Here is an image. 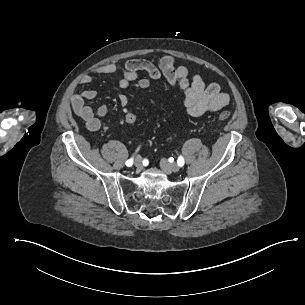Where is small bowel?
Listing matches in <instances>:
<instances>
[{"label": "small bowel", "instance_id": "c3829d8e", "mask_svg": "<svg viewBox=\"0 0 305 305\" xmlns=\"http://www.w3.org/2000/svg\"><path fill=\"white\" fill-rule=\"evenodd\" d=\"M146 72L153 80H165L169 85H178L185 94L184 106L188 115L199 117L206 113L216 112L230 102L227 93L222 92L217 83L206 85L198 74L189 80V71L186 66H176V60L171 55L163 56L158 66L145 59L128 60L124 67L117 64H103L94 67L89 75L82 78L84 84L92 82L94 76L102 74H119L117 84L120 88H128L138 79L139 72ZM97 97L95 90H84L76 93L71 98V105L74 113L83 119L85 127L89 131H97L101 128L100 118L108 113V107L102 105L96 110L91 109L86 101ZM118 101L122 107L128 104V97L125 94L118 95ZM128 110L125 109V113Z\"/></svg>", "mask_w": 305, "mask_h": 305}]
</instances>
